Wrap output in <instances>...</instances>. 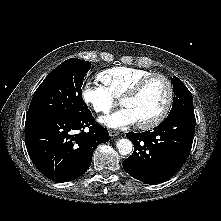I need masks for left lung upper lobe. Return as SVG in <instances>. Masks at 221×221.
Returning a JSON list of instances; mask_svg holds the SVG:
<instances>
[{
  "mask_svg": "<svg viewBox=\"0 0 221 221\" xmlns=\"http://www.w3.org/2000/svg\"><path fill=\"white\" fill-rule=\"evenodd\" d=\"M172 82L174 88V100L168 117L174 115H194L192 94L184 83L176 76L172 78Z\"/></svg>",
  "mask_w": 221,
  "mask_h": 221,
  "instance_id": "1",
  "label": "left lung upper lobe"
}]
</instances>
